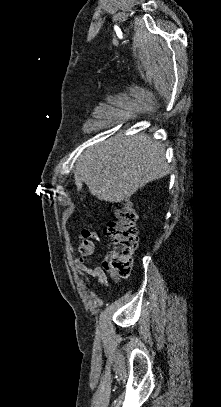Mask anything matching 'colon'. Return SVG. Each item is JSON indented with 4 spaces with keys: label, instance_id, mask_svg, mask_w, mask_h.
I'll return each instance as SVG.
<instances>
[{
    "label": "colon",
    "instance_id": "colon-1",
    "mask_svg": "<svg viewBox=\"0 0 221 407\" xmlns=\"http://www.w3.org/2000/svg\"><path fill=\"white\" fill-rule=\"evenodd\" d=\"M117 221L109 222L105 234L111 239L112 249L106 266L121 277L131 272L132 256L137 246L136 213L130 202L125 201L116 209ZM90 232H83L88 236Z\"/></svg>",
    "mask_w": 221,
    "mask_h": 407
}]
</instances>
